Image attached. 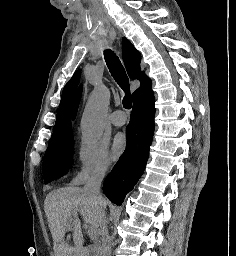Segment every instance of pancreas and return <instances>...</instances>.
Returning <instances> with one entry per match:
<instances>
[{
	"instance_id": "1",
	"label": "pancreas",
	"mask_w": 236,
	"mask_h": 256,
	"mask_svg": "<svg viewBox=\"0 0 236 256\" xmlns=\"http://www.w3.org/2000/svg\"><path fill=\"white\" fill-rule=\"evenodd\" d=\"M96 232H97V230H96ZM98 236H99V234L97 232V236L92 238V241L95 242V244H98V242L101 241V238ZM94 250H95V253H98V250H99L98 246H96V248H94Z\"/></svg>"
}]
</instances>
